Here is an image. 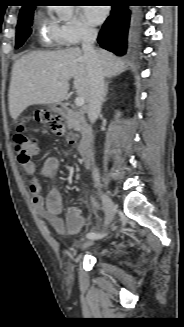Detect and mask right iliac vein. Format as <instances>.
Instances as JSON below:
<instances>
[{
    "mask_svg": "<svg viewBox=\"0 0 184 327\" xmlns=\"http://www.w3.org/2000/svg\"><path fill=\"white\" fill-rule=\"evenodd\" d=\"M98 193L100 195V198L103 202L104 209H105V227L108 226L113 218L116 211V206L114 205L113 201L109 198V196L103 191V189L100 186H97ZM95 239H89L83 244V248H87L91 246L94 243Z\"/></svg>",
    "mask_w": 184,
    "mask_h": 327,
    "instance_id": "1",
    "label": "right iliac vein"
}]
</instances>
